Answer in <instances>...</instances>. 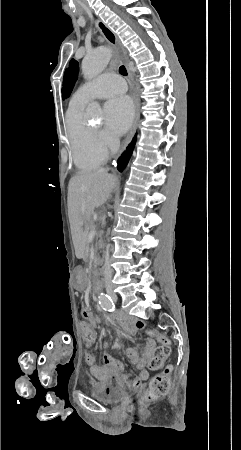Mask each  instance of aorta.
Returning a JSON list of instances; mask_svg holds the SVG:
<instances>
[{
  "label": "aorta",
  "mask_w": 241,
  "mask_h": 450,
  "mask_svg": "<svg viewBox=\"0 0 241 450\" xmlns=\"http://www.w3.org/2000/svg\"><path fill=\"white\" fill-rule=\"evenodd\" d=\"M111 55V50L106 47H100L87 54L81 64L84 77L92 79L99 75L106 68ZM86 114L88 119L91 120L102 119V109L97 102H91L88 105Z\"/></svg>",
  "instance_id": "1"
}]
</instances>
